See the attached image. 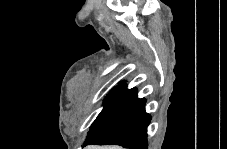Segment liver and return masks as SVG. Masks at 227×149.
Returning a JSON list of instances; mask_svg holds the SVG:
<instances>
[{"instance_id": "obj_1", "label": "liver", "mask_w": 227, "mask_h": 149, "mask_svg": "<svg viewBox=\"0 0 227 149\" xmlns=\"http://www.w3.org/2000/svg\"><path fill=\"white\" fill-rule=\"evenodd\" d=\"M87 149H120L118 146H88Z\"/></svg>"}]
</instances>
